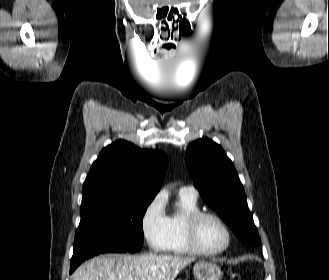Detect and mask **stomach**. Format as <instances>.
Masks as SVG:
<instances>
[{"mask_svg": "<svg viewBox=\"0 0 329 280\" xmlns=\"http://www.w3.org/2000/svg\"><path fill=\"white\" fill-rule=\"evenodd\" d=\"M193 274L196 280H221V268L208 261L197 262L193 267Z\"/></svg>", "mask_w": 329, "mask_h": 280, "instance_id": "1", "label": "stomach"}]
</instances>
